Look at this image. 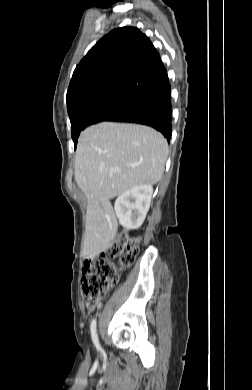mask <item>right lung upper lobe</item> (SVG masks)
Masks as SVG:
<instances>
[{
	"label": "right lung upper lobe",
	"mask_w": 252,
	"mask_h": 390,
	"mask_svg": "<svg viewBox=\"0 0 252 390\" xmlns=\"http://www.w3.org/2000/svg\"><path fill=\"white\" fill-rule=\"evenodd\" d=\"M168 78L150 39L135 27L112 30L74 70L66 95L67 110L106 96L136 98Z\"/></svg>",
	"instance_id": "right-lung-upper-lobe-1"
}]
</instances>
